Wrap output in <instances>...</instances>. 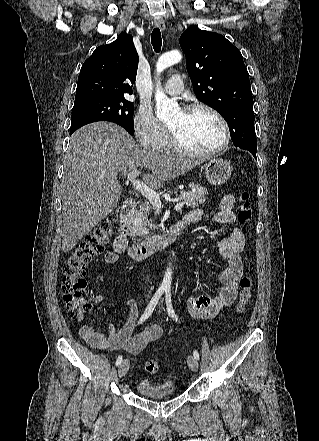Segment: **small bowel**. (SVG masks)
I'll return each instance as SVG.
<instances>
[{
	"label": "small bowel",
	"instance_id": "obj_1",
	"mask_svg": "<svg viewBox=\"0 0 319 441\" xmlns=\"http://www.w3.org/2000/svg\"><path fill=\"white\" fill-rule=\"evenodd\" d=\"M236 199L233 195H225L219 203V210L213 215L212 221L218 224L233 225L237 221L234 211ZM203 210L191 211L181 221L183 227L201 220ZM245 246V235L243 231L234 227L230 233L225 235L219 242L218 248L220 257L226 262V266L219 274V281L223 285L215 297L199 295L190 297L187 301L188 315L193 319H210L218 316L225 308L231 306L236 300L238 293V280L242 276L243 262L241 252ZM118 255L108 253L105 260L108 263L118 261ZM93 300L96 304L104 301L103 295L97 293ZM129 313L121 327L110 323L107 332H99L93 327L83 324L79 328L81 337L92 347L97 349H124L132 354H139L149 344L158 340L163 329L159 325L147 326L140 333L133 335L134 323L137 316L136 302L132 298L125 301Z\"/></svg>",
	"mask_w": 319,
	"mask_h": 441
}]
</instances>
